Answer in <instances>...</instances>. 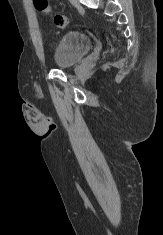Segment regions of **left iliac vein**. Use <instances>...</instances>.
<instances>
[{
  "label": "left iliac vein",
  "instance_id": "4c4485c4",
  "mask_svg": "<svg viewBox=\"0 0 163 235\" xmlns=\"http://www.w3.org/2000/svg\"><path fill=\"white\" fill-rule=\"evenodd\" d=\"M73 5H78L79 4V2H78V0H69Z\"/></svg>",
  "mask_w": 163,
  "mask_h": 235
}]
</instances>
